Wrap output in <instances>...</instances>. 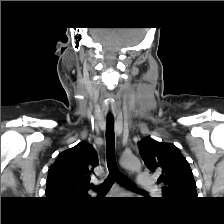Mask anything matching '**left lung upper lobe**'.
Returning a JSON list of instances; mask_svg holds the SVG:
<instances>
[{"label": "left lung upper lobe", "mask_w": 224, "mask_h": 224, "mask_svg": "<svg viewBox=\"0 0 224 224\" xmlns=\"http://www.w3.org/2000/svg\"><path fill=\"white\" fill-rule=\"evenodd\" d=\"M138 147L148 169L160 173L157 182L163 185L164 198H197L192 170L176 146L146 137L138 142Z\"/></svg>", "instance_id": "5c2ea615"}]
</instances>
